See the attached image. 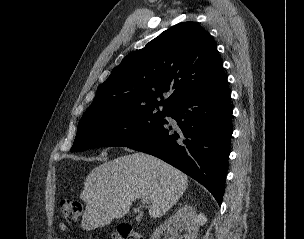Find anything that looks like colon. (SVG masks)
I'll return each instance as SVG.
<instances>
[{"mask_svg": "<svg viewBox=\"0 0 304 239\" xmlns=\"http://www.w3.org/2000/svg\"><path fill=\"white\" fill-rule=\"evenodd\" d=\"M60 209L64 218L69 222L76 221L82 211L79 201L64 198L60 200ZM115 239H143V237L128 224L119 225L114 232Z\"/></svg>", "mask_w": 304, "mask_h": 239, "instance_id": "colon-1", "label": "colon"}]
</instances>
